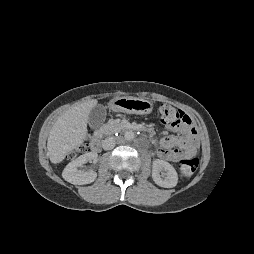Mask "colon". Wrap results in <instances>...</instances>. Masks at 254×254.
Listing matches in <instances>:
<instances>
[{
  "label": "colon",
  "mask_w": 254,
  "mask_h": 254,
  "mask_svg": "<svg viewBox=\"0 0 254 254\" xmlns=\"http://www.w3.org/2000/svg\"><path fill=\"white\" fill-rule=\"evenodd\" d=\"M159 114L161 120L171 127L190 126L191 132L195 133V128L191 125L190 117L182 110L171 104L165 103L160 105ZM198 167L197 158H187L179 162V174L183 178H190Z\"/></svg>",
  "instance_id": "5ec220e1"
}]
</instances>
